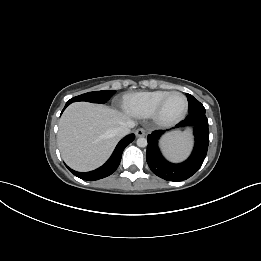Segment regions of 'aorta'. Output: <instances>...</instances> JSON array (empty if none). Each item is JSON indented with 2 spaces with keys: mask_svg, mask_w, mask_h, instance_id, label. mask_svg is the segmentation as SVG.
<instances>
[{
  "mask_svg": "<svg viewBox=\"0 0 261 261\" xmlns=\"http://www.w3.org/2000/svg\"><path fill=\"white\" fill-rule=\"evenodd\" d=\"M137 146L138 147H146L147 146V139L144 137H140L137 139Z\"/></svg>",
  "mask_w": 261,
  "mask_h": 261,
  "instance_id": "obj_1",
  "label": "aorta"
}]
</instances>
